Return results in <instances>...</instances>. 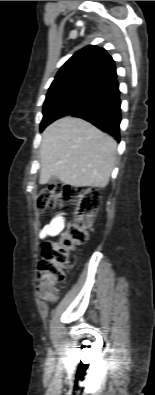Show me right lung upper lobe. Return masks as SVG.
Returning <instances> with one entry per match:
<instances>
[{"label":"right lung upper lobe","mask_w":155,"mask_h":395,"mask_svg":"<svg viewBox=\"0 0 155 395\" xmlns=\"http://www.w3.org/2000/svg\"><path fill=\"white\" fill-rule=\"evenodd\" d=\"M117 77L114 60L104 48L89 45L76 52L58 71L51 87L83 82L104 88Z\"/></svg>","instance_id":"obj_1"}]
</instances>
